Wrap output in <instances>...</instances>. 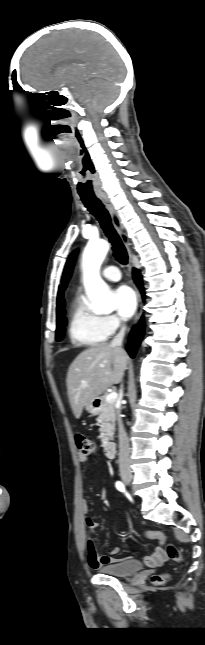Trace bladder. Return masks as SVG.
I'll list each match as a JSON object with an SVG mask.
<instances>
[{
	"label": "bladder",
	"mask_w": 205,
	"mask_h": 645,
	"mask_svg": "<svg viewBox=\"0 0 205 645\" xmlns=\"http://www.w3.org/2000/svg\"><path fill=\"white\" fill-rule=\"evenodd\" d=\"M142 569L143 564L135 559L121 560L99 568L100 572L116 577H128L140 572Z\"/></svg>",
	"instance_id": "1"
}]
</instances>
